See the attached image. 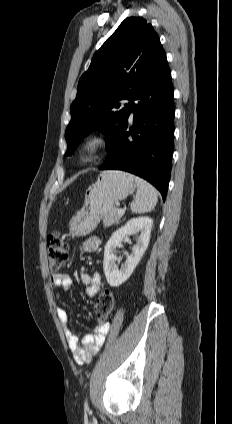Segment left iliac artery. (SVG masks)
<instances>
[{"label": "left iliac artery", "instance_id": "obj_1", "mask_svg": "<svg viewBox=\"0 0 232 424\" xmlns=\"http://www.w3.org/2000/svg\"><path fill=\"white\" fill-rule=\"evenodd\" d=\"M84 407H85V410H89L87 400H85Z\"/></svg>", "mask_w": 232, "mask_h": 424}]
</instances>
